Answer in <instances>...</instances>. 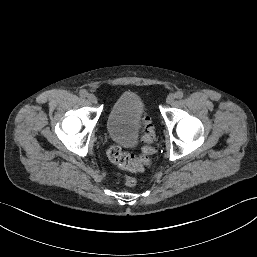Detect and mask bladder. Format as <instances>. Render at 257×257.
Segmentation results:
<instances>
[{"label":"bladder","mask_w":257,"mask_h":257,"mask_svg":"<svg viewBox=\"0 0 257 257\" xmlns=\"http://www.w3.org/2000/svg\"><path fill=\"white\" fill-rule=\"evenodd\" d=\"M144 111L145 102L138 94L122 93L108 113L105 124L107 134L121 145L136 144Z\"/></svg>","instance_id":"31cf9c89"}]
</instances>
